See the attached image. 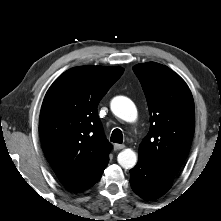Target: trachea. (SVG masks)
<instances>
[{"label": "trachea", "instance_id": "trachea-1", "mask_svg": "<svg viewBox=\"0 0 221 221\" xmlns=\"http://www.w3.org/2000/svg\"><path fill=\"white\" fill-rule=\"evenodd\" d=\"M110 140H111V142L120 143L121 144L123 142L122 131L120 129H114L112 134H111Z\"/></svg>", "mask_w": 221, "mask_h": 221}]
</instances>
